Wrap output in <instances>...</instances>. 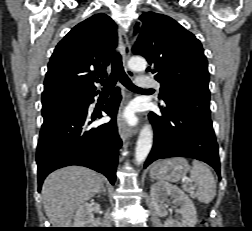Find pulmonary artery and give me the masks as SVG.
I'll list each match as a JSON object with an SVG mask.
<instances>
[{
  "label": "pulmonary artery",
  "mask_w": 252,
  "mask_h": 231,
  "mask_svg": "<svg viewBox=\"0 0 252 231\" xmlns=\"http://www.w3.org/2000/svg\"><path fill=\"white\" fill-rule=\"evenodd\" d=\"M137 84L141 88H151L157 90H160L161 88V84L159 82L145 75H142L137 79Z\"/></svg>",
  "instance_id": "pulmonary-artery-1"
}]
</instances>
